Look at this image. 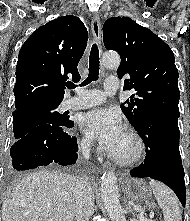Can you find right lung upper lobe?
Masks as SVG:
<instances>
[{"instance_id": "cb5924a9", "label": "right lung upper lobe", "mask_w": 190, "mask_h": 221, "mask_svg": "<svg viewBox=\"0 0 190 221\" xmlns=\"http://www.w3.org/2000/svg\"><path fill=\"white\" fill-rule=\"evenodd\" d=\"M87 40L86 27L73 15L59 17L39 27L19 52L13 114L37 105L60 103L68 76L80 79L77 66Z\"/></svg>"}]
</instances>
